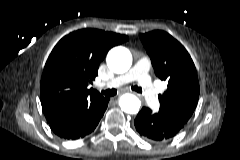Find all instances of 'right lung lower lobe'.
I'll use <instances>...</instances> for the list:
<instances>
[{
	"label": "right lung lower lobe",
	"mask_w": 240,
	"mask_h": 160,
	"mask_svg": "<svg viewBox=\"0 0 240 160\" xmlns=\"http://www.w3.org/2000/svg\"><path fill=\"white\" fill-rule=\"evenodd\" d=\"M108 102L109 98H96L78 110L63 113L55 121L49 123L50 128L63 139L83 138L96 128Z\"/></svg>",
	"instance_id": "1"
}]
</instances>
